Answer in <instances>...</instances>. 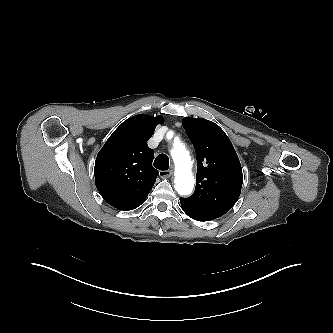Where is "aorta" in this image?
<instances>
[{
    "label": "aorta",
    "instance_id": "762f6f07",
    "mask_svg": "<svg viewBox=\"0 0 333 333\" xmlns=\"http://www.w3.org/2000/svg\"><path fill=\"white\" fill-rule=\"evenodd\" d=\"M171 156L175 163V190L181 196L189 195L195 183L189 152L183 143L176 142L171 149Z\"/></svg>",
    "mask_w": 333,
    "mask_h": 333
}]
</instances>
